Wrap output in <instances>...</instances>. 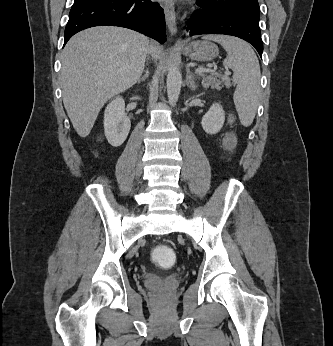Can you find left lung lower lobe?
<instances>
[{
    "mask_svg": "<svg viewBox=\"0 0 333 346\" xmlns=\"http://www.w3.org/2000/svg\"><path fill=\"white\" fill-rule=\"evenodd\" d=\"M200 9L186 22L190 35L225 34L239 37L252 44L262 58L263 43L259 22L233 13L219 4L197 0Z\"/></svg>",
    "mask_w": 333,
    "mask_h": 346,
    "instance_id": "left-lung-lower-lobe-1",
    "label": "left lung lower lobe"
}]
</instances>
